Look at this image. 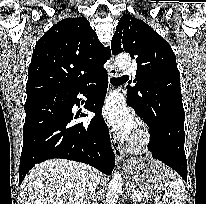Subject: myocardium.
I'll list each match as a JSON object with an SVG mask.
<instances>
[{
    "label": "myocardium",
    "mask_w": 206,
    "mask_h": 204,
    "mask_svg": "<svg viewBox=\"0 0 206 204\" xmlns=\"http://www.w3.org/2000/svg\"><path fill=\"white\" fill-rule=\"evenodd\" d=\"M153 142L151 130L146 122L137 120L133 133L128 139L127 148L132 153H145Z\"/></svg>",
    "instance_id": "f54148a6"
}]
</instances>
